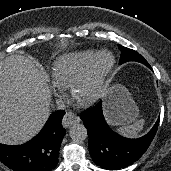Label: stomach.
I'll return each mask as SVG.
<instances>
[{
  "label": "stomach",
  "mask_w": 171,
  "mask_h": 171,
  "mask_svg": "<svg viewBox=\"0 0 171 171\" xmlns=\"http://www.w3.org/2000/svg\"><path fill=\"white\" fill-rule=\"evenodd\" d=\"M105 112L111 125H126L138 117V107L130 93L119 84L108 89L105 96Z\"/></svg>",
  "instance_id": "1"
}]
</instances>
